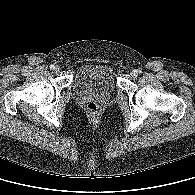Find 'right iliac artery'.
I'll return each mask as SVG.
<instances>
[{"mask_svg":"<svg viewBox=\"0 0 195 195\" xmlns=\"http://www.w3.org/2000/svg\"><path fill=\"white\" fill-rule=\"evenodd\" d=\"M54 68H55V65H53V64H52V65H50V69H52V70H53Z\"/></svg>","mask_w":195,"mask_h":195,"instance_id":"right-iliac-artery-1","label":"right iliac artery"}]
</instances>
